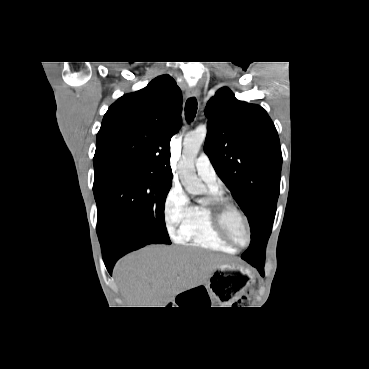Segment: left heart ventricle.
<instances>
[{
    "mask_svg": "<svg viewBox=\"0 0 369 369\" xmlns=\"http://www.w3.org/2000/svg\"><path fill=\"white\" fill-rule=\"evenodd\" d=\"M226 223L232 238L238 244L244 245L247 242V232L241 218L235 212H230Z\"/></svg>",
    "mask_w": 369,
    "mask_h": 369,
    "instance_id": "left-heart-ventricle-1",
    "label": "left heart ventricle"
}]
</instances>
